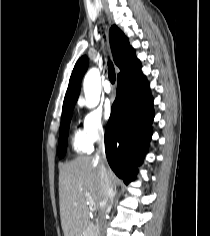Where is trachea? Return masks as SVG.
<instances>
[{
    "label": "trachea",
    "mask_w": 210,
    "mask_h": 236,
    "mask_svg": "<svg viewBox=\"0 0 210 236\" xmlns=\"http://www.w3.org/2000/svg\"><path fill=\"white\" fill-rule=\"evenodd\" d=\"M108 77L110 82L114 84L116 80V74L113 63L110 60L108 61Z\"/></svg>",
    "instance_id": "trachea-1"
}]
</instances>
